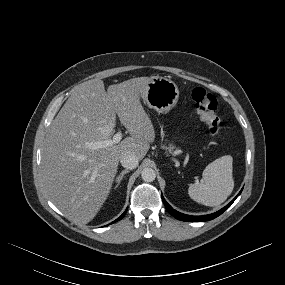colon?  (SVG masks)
<instances>
[{
  "mask_svg": "<svg viewBox=\"0 0 285 285\" xmlns=\"http://www.w3.org/2000/svg\"><path fill=\"white\" fill-rule=\"evenodd\" d=\"M191 97L195 111L208 133L212 136L217 135L224 128V123L217 115L216 98L201 87L195 88Z\"/></svg>",
  "mask_w": 285,
  "mask_h": 285,
  "instance_id": "5ec220e1",
  "label": "colon"
}]
</instances>
